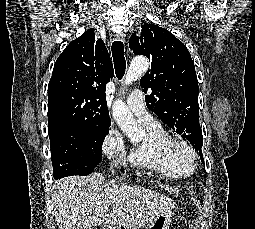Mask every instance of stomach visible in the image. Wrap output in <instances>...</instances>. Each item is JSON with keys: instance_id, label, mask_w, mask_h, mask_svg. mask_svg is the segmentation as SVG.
Here are the masks:
<instances>
[{"instance_id": "1", "label": "stomach", "mask_w": 255, "mask_h": 229, "mask_svg": "<svg viewBox=\"0 0 255 229\" xmlns=\"http://www.w3.org/2000/svg\"><path fill=\"white\" fill-rule=\"evenodd\" d=\"M174 207L156 215L150 222L145 225L144 229H169ZM103 229H129L121 225H105Z\"/></svg>"}]
</instances>
